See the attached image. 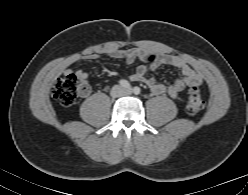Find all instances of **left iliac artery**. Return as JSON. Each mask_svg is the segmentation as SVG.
Listing matches in <instances>:
<instances>
[{"label": "left iliac artery", "mask_w": 248, "mask_h": 195, "mask_svg": "<svg viewBox=\"0 0 248 195\" xmlns=\"http://www.w3.org/2000/svg\"><path fill=\"white\" fill-rule=\"evenodd\" d=\"M133 92H134V94L138 95V94H140L141 90L139 87L136 86L133 88Z\"/></svg>", "instance_id": "1"}]
</instances>
